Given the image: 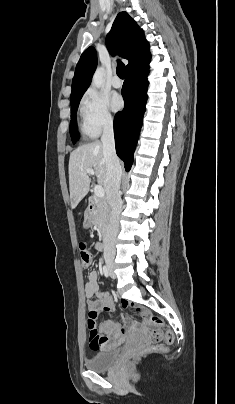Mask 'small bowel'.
I'll return each mask as SVG.
<instances>
[{"instance_id":"obj_1","label":"small bowel","mask_w":235,"mask_h":404,"mask_svg":"<svg viewBox=\"0 0 235 404\" xmlns=\"http://www.w3.org/2000/svg\"><path fill=\"white\" fill-rule=\"evenodd\" d=\"M96 248L100 249V244H96ZM85 293L89 299L87 302V307L89 310V315H94L96 319L97 315L102 312H114L116 311V305L112 296L106 292H101L98 285V272L91 271L88 274L87 282L85 285ZM95 298V299H94ZM129 305L128 301H122V307L125 309ZM122 318L124 323H119L113 320H106L102 322L96 331L99 338H103L104 342L101 344H94L93 339H90V345L93 349H100L107 345L108 341L112 342V345L121 344L126 336L133 331L129 317L122 313ZM99 334H105L106 336H99Z\"/></svg>"}]
</instances>
